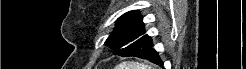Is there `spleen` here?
<instances>
[{
	"label": "spleen",
	"instance_id": "1",
	"mask_svg": "<svg viewBox=\"0 0 246 69\" xmlns=\"http://www.w3.org/2000/svg\"><path fill=\"white\" fill-rule=\"evenodd\" d=\"M116 69H151L150 66L139 62H123L116 66Z\"/></svg>",
	"mask_w": 246,
	"mask_h": 69
}]
</instances>
